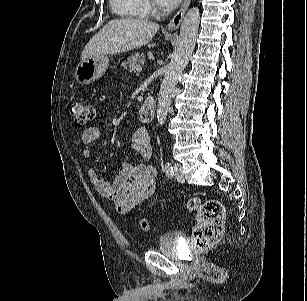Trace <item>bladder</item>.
Segmentation results:
<instances>
[{
	"mask_svg": "<svg viewBox=\"0 0 307 301\" xmlns=\"http://www.w3.org/2000/svg\"><path fill=\"white\" fill-rule=\"evenodd\" d=\"M178 237L179 235L175 232L161 235L156 241L155 250L168 256L177 257L180 251Z\"/></svg>",
	"mask_w": 307,
	"mask_h": 301,
	"instance_id": "bladder-1",
	"label": "bladder"
}]
</instances>
